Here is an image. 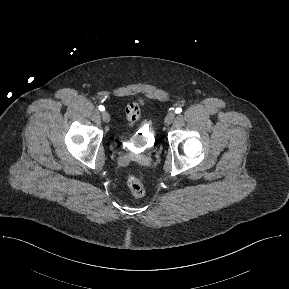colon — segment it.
Wrapping results in <instances>:
<instances>
[{
    "label": "colon",
    "mask_w": 289,
    "mask_h": 289,
    "mask_svg": "<svg viewBox=\"0 0 289 289\" xmlns=\"http://www.w3.org/2000/svg\"><path fill=\"white\" fill-rule=\"evenodd\" d=\"M150 102V97L145 93H138L131 97L125 119V128L120 138L122 147L129 154L123 162L124 181L135 195H140L143 192L140 180L131 172V168L139 161V150L143 144V134L138 124L139 106Z\"/></svg>",
    "instance_id": "1"
}]
</instances>
